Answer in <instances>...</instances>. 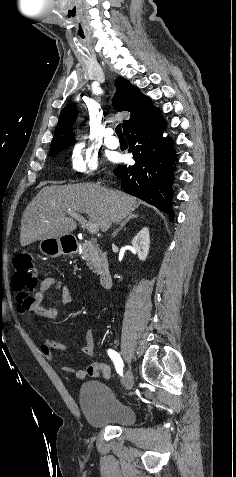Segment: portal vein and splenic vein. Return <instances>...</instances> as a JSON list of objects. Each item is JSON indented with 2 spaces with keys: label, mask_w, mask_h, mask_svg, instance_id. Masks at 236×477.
<instances>
[{
  "label": "portal vein and splenic vein",
  "mask_w": 236,
  "mask_h": 477,
  "mask_svg": "<svg viewBox=\"0 0 236 477\" xmlns=\"http://www.w3.org/2000/svg\"><path fill=\"white\" fill-rule=\"evenodd\" d=\"M67 214L70 215L75 220L82 223L83 226H85L91 234H97L98 233L99 228L96 224H92V223L87 222L81 215H79L77 213L70 212V209L68 210Z\"/></svg>",
  "instance_id": "obj_1"
}]
</instances>
